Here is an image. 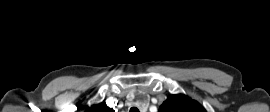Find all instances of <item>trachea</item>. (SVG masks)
Here are the masks:
<instances>
[{
    "label": "trachea",
    "instance_id": "obj_1",
    "mask_svg": "<svg viewBox=\"0 0 270 112\" xmlns=\"http://www.w3.org/2000/svg\"><path fill=\"white\" fill-rule=\"evenodd\" d=\"M130 112H139V110H138V108H136V107H132V108L130 109Z\"/></svg>",
    "mask_w": 270,
    "mask_h": 112
}]
</instances>
